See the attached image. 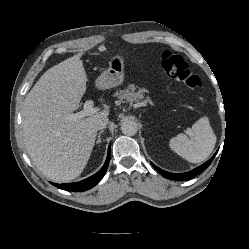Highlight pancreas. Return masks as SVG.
I'll use <instances>...</instances> for the list:
<instances>
[{
    "mask_svg": "<svg viewBox=\"0 0 249 249\" xmlns=\"http://www.w3.org/2000/svg\"><path fill=\"white\" fill-rule=\"evenodd\" d=\"M145 89L139 88L136 90L135 85L130 84L126 89L115 92V96L120 102H128L130 105L137 103L140 106H144L147 103H151V99L145 96Z\"/></svg>",
    "mask_w": 249,
    "mask_h": 249,
    "instance_id": "pancreas-1",
    "label": "pancreas"
}]
</instances>
